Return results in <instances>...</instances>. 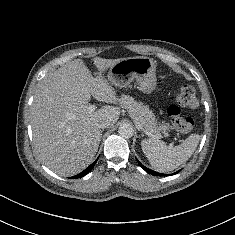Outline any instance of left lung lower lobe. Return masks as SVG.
Instances as JSON below:
<instances>
[{"instance_id":"obj_1","label":"left lung lower lobe","mask_w":235,"mask_h":235,"mask_svg":"<svg viewBox=\"0 0 235 235\" xmlns=\"http://www.w3.org/2000/svg\"><path fill=\"white\" fill-rule=\"evenodd\" d=\"M138 164L146 171L148 172L149 174H152V175H155V176H168L167 174H162V173H158V172H155L153 170H150L148 168H146L144 165H142L138 160H137ZM180 171V170H179ZM179 171L171 174V175H174V174H177Z\"/></svg>"}]
</instances>
